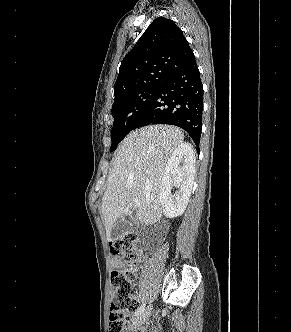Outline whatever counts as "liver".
I'll return each mask as SVG.
<instances>
[{
    "instance_id": "6515ba94",
    "label": "liver",
    "mask_w": 291,
    "mask_h": 332,
    "mask_svg": "<svg viewBox=\"0 0 291 332\" xmlns=\"http://www.w3.org/2000/svg\"><path fill=\"white\" fill-rule=\"evenodd\" d=\"M184 140L170 125H150L129 133L119 145L102 199L107 240L119 218L135 211V224H154L162 217L160 187L167 162ZM135 199L139 204H135Z\"/></svg>"
}]
</instances>
